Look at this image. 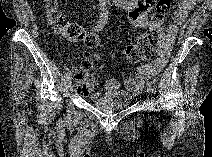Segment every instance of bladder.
Masks as SVG:
<instances>
[{
	"label": "bladder",
	"instance_id": "bladder-1",
	"mask_svg": "<svg viewBox=\"0 0 212 157\" xmlns=\"http://www.w3.org/2000/svg\"><path fill=\"white\" fill-rule=\"evenodd\" d=\"M133 97L122 90H111L94 96L92 105L103 111L123 109L130 105Z\"/></svg>",
	"mask_w": 212,
	"mask_h": 157
}]
</instances>
